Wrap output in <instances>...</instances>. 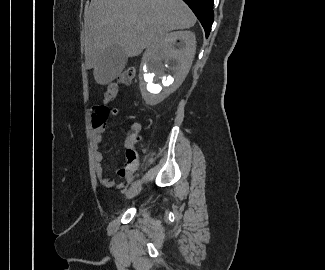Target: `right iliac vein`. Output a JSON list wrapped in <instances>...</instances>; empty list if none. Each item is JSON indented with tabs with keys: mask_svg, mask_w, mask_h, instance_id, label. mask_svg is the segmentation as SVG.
<instances>
[{
	"mask_svg": "<svg viewBox=\"0 0 325 270\" xmlns=\"http://www.w3.org/2000/svg\"><path fill=\"white\" fill-rule=\"evenodd\" d=\"M142 189V186L141 184L137 185V186H134V187H131L127 192H126V198L127 199H131L133 197H135L136 195H138L140 193Z\"/></svg>",
	"mask_w": 325,
	"mask_h": 270,
	"instance_id": "obj_1",
	"label": "right iliac vein"
}]
</instances>
